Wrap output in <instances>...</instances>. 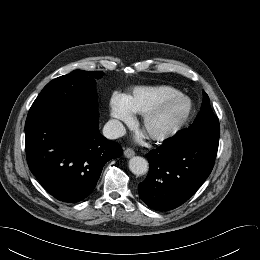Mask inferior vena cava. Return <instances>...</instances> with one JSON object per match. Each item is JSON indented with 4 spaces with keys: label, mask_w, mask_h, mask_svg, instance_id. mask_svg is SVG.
<instances>
[{
    "label": "inferior vena cava",
    "mask_w": 260,
    "mask_h": 260,
    "mask_svg": "<svg viewBox=\"0 0 260 260\" xmlns=\"http://www.w3.org/2000/svg\"><path fill=\"white\" fill-rule=\"evenodd\" d=\"M125 133L126 130L123 124L115 119L109 120L103 128V135L107 139H117L119 137H122Z\"/></svg>",
    "instance_id": "1"
}]
</instances>
